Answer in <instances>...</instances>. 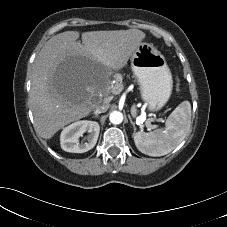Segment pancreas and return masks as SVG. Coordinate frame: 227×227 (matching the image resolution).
Returning <instances> with one entry per match:
<instances>
[{"label": "pancreas", "instance_id": "obj_1", "mask_svg": "<svg viewBox=\"0 0 227 227\" xmlns=\"http://www.w3.org/2000/svg\"><path fill=\"white\" fill-rule=\"evenodd\" d=\"M117 86H120L119 88H121V85L120 84H118Z\"/></svg>", "mask_w": 227, "mask_h": 227}]
</instances>
